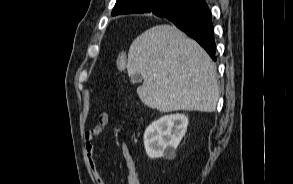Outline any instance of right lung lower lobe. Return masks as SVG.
Segmentation results:
<instances>
[{"label": "right lung lower lobe", "mask_w": 293, "mask_h": 184, "mask_svg": "<svg viewBox=\"0 0 293 184\" xmlns=\"http://www.w3.org/2000/svg\"><path fill=\"white\" fill-rule=\"evenodd\" d=\"M163 18L173 22L189 37L196 40L215 61L214 27L206 5L191 3L166 13Z\"/></svg>", "instance_id": "1"}]
</instances>
